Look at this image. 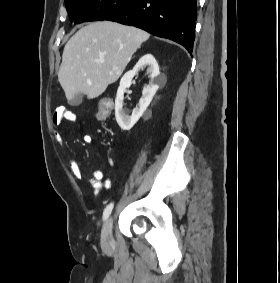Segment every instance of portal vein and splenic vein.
Returning <instances> with one entry per match:
<instances>
[{"instance_id": "1", "label": "portal vein and splenic vein", "mask_w": 280, "mask_h": 283, "mask_svg": "<svg viewBox=\"0 0 280 283\" xmlns=\"http://www.w3.org/2000/svg\"><path fill=\"white\" fill-rule=\"evenodd\" d=\"M100 62H101V63H104V60H101Z\"/></svg>"}]
</instances>
